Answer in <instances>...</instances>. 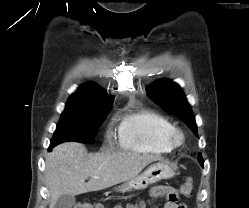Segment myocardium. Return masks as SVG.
Segmentation results:
<instances>
[{"mask_svg": "<svg viewBox=\"0 0 249 208\" xmlns=\"http://www.w3.org/2000/svg\"><path fill=\"white\" fill-rule=\"evenodd\" d=\"M167 140L171 148H179L185 142V135L182 130L174 128L168 133Z\"/></svg>", "mask_w": 249, "mask_h": 208, "instance_id": "myocardium-1", "label": "myocardium"}]
</instances>
